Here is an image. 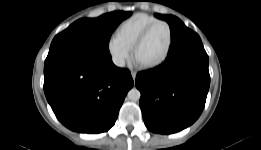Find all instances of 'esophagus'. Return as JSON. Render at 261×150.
<instances>
[{
    "instance_id": "esophagus-1",
    "label": "esophagus",
    "mask_w": 261,
    "mask_h": 150,
    "mask_svg": "<svg viewBox=\"0 0 261 150\" xmlns=\"http://www.w3.org/2000/svg\"><path fill=\"white\" fill-rule=\"evenodd\" d=\"M136 75H137L136 71H131V76H132L133 80H135Z\"/></svg>"
}]
</instances>
